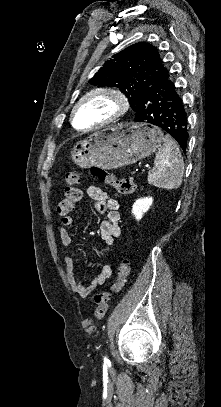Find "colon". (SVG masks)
<instances>
[{
  "mask_svg": "<svg viewBox=\"0 0 221 407\" xmlns=\"http://www.w3.org/2000/svg\"><path fill=\"white\" fill-rule=\"evenodd\" d=\"M90 172L98 182L114 187L121 194H131L137 189L136 184L131 179L117 178L113 173L100 166L92 165ZM79 182L80 173L78 171H72L67 174L64 196L57 205V215H68L81 199L82 192L79 187ZM129 273L130 263L125 259L118 266L117 277L110 289L94 293L93 300L97 307L94 310L93 316L96 320H102L104 318L111 296L122 290Z\"/></svg>",
  "mask_w": 221,
  "mask_h": 407,
  "instance_id": "5ec220e1",
  "label": "colon"
}]
</instances>
